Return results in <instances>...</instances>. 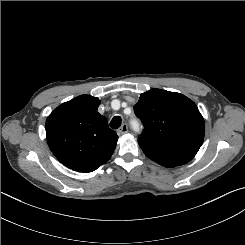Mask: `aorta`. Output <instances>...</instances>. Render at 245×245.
Listing matches in <instances>:
<instances>
[{"instance_id":"obj_1","label":"aorta","mask_w":245,"mask_h":245,"mask_svg":"<svg viewBox=\"0 0 245 245\" xmlns=\"http://www.w3.org/2000/svg\"><path fill=\"white\" fill-rule=\"evenodd\" d=\"M133 127H134V129H135L136 131H138V130H139V126H138V124H133Z\"/></svg>"}]
</instances>
